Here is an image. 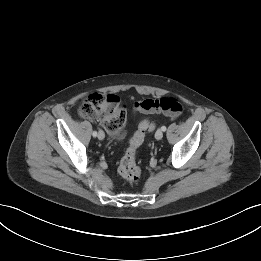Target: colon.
<instances>
[{
  "label": "colon",
  "mask_w": 261,
  "mask_h": 261,
  "mask_svg": "<svg viewBox=\"0 0 261 261\" xmlns=\"http://www.w3.org/2000/svg\"><path fill=\"white\" fill-rule=\"evenodd\" d=\"M143 107L152 112H162L172 117H178L183 113L182 104L174 97L148 99L143 103ZM79 113L84 118L99 119L104 129L112 134V139L115 142L120 141L127 134V131L124 129L127 118L126 108L116 95L94 93L82 101ZM152 128L153 125L149 121L141 122L120 160L118 173L130 183L137 182L141 177V169L137 164L136 152L142 144L146 133L151 131Z\"/></svg>",
  "instance_id": "5ec220e1"
}]
</instances>
